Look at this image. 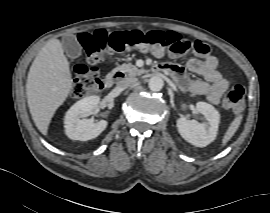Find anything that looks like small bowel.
Segmentation results:
<instances>
[{
	"label": "small bowel",
	"mask_w": 270,
	"mask_h": 213,
	"mask_svg": "<svg viewBox=\"0 0 270 213\" xmlns=\"http://www.w3.org/2000/svg\"><path fill=\"white\" fill-rule=\"evenodd\" d=\"M218 59L210 49L202 59H191L187 70L202 77V80L182 81L183 68L172 63H162L157 68L172 74L180 87L196 94L204 95L212 104H218L222 95L228 90L230 83L217 70Z\"/></svg>",
	"instance_id": "1"
}]
</instances>
